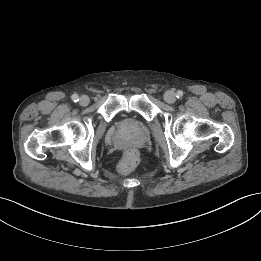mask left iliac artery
<instances>
[{"mask_svg":"<svg viewBox=\"0 0 261 261\" xmlns=\"http://www.w3.org/2000/svg\"><path fill=\"white\" fill-rule=\"evenodd\" d=\"M182 96H183V92L181 90L177 91L176 97L177 98H182Z\"/></svg>","mask_w":261,"mask_h":261,"instance_id":"left-iliac-artery-1","label":"left iliac artery"}]
</instances>
